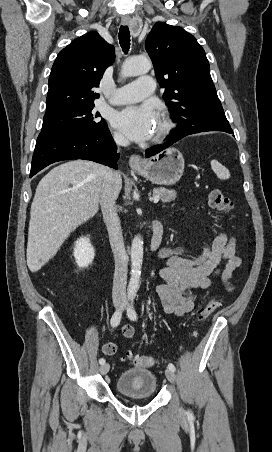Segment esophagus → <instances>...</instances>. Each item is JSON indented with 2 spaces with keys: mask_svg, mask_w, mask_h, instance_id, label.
<instances>
[{
  "mask_svg": "<svg viewBox=\"0 0 272 452\" xmlns=\"http://www.w3.org/2000/svg\"><path fill=\"white\" fill-rule=\"evenodd\" d=\"M121 23L123 25H128L130 23V17L129 16H123L121 19ZM143 164V160L139 155H132L129 159V165L131 168H137L140 167Z\"/></svg>",
  "mask_w": 272,
  "mask_h": 452,
  "instance_id": "34e87169",
  "label": "esophagus"
}]
</instances>
